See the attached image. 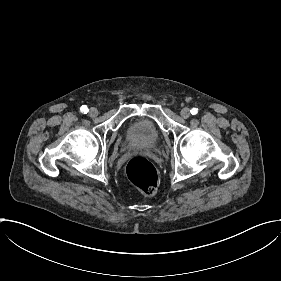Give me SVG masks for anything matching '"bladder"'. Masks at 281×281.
<instances>
[{
	"mask_svg": "<svg viewBox=\"0 0 281 281\" xmlns=\"http://www.w3.org/2000/svg\"><path fill=\"white\" fill-rule=\"evenodd\" d=\"M127 138L136 145L153 147L159 140V134L152 121L141 119L128 127Z\"/></svg>",
	"mask_w": 281,
	"mask_h": 281,
	"instance_id": "bladder-1",
	"label": "bladder"
}]
</instances>
